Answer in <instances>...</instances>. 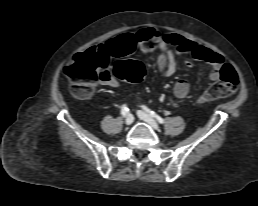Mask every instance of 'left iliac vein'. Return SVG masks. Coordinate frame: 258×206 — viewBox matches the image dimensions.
<instances>
[{"label": "left iliac vein", "mask_w": 258, "mask_h": 206, "mask_svg": "<svg viewBox=\"0 0 258 206\" xmlns=\"http://www.w3.org/2000/svg\"><path fill=\"white\" fill-rule=\"evenodd\" d=\"M137 115L141 120H143L144 122L149 124L153 129H155V130L159 129L158 123L147 113L139 110V111H137Z\"/></svg>", "instance_id": "left-iliac-vein-1"}]
</instances>
